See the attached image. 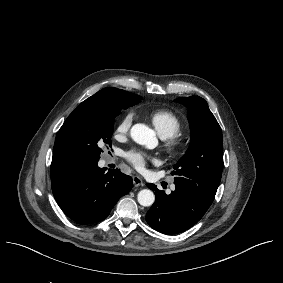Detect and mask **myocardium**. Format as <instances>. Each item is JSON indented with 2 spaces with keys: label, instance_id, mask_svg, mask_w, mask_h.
I'll use <instances>...</instances> for the list:
<instances>
[{
  "label": "myocardium",
  "instance_id": "f54148a6",
  "mask_svg": "<svg viewBox=\"0 0 283 283\" xmlns=\"http://www.w3.org/2000/svg\"><path fill=\"white\" fill-rule=\"evenodd\" d=\"M189 140L187 135L177 132L166 138L163 143L164 152L170 157H179L185 153L188 148Z\"/></svg>",
  "mask_w": 283,
  "mask_h": 283
}]
</instances>
